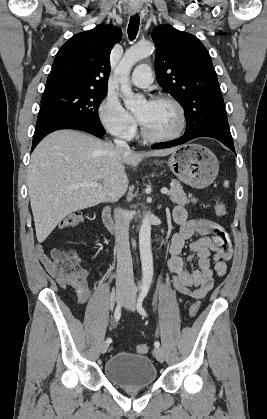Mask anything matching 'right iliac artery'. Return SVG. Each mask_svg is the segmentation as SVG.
<instances>
[{"instance_id":"1","label":"right iliac artery","mask_w":267,"mask_h":419,"mask_svg":"<svg viewBox=\"0 0 267 419\" xmlns=\"http://www.w3.org/2000/svg\"><path fill=\"white\" fill-rule=\"evenodd\" d=\"M136 291H137V289H135V290L132 292V294H135V293H136ZM122 303H123V301H122V302H120V303H118V305H117V307H116V309H115V312H114V318H115V320H116V321H118V320L120 319V317H121V307H122ZM106 342H107V343H111V342H112V339H111V338H107Z\"/></svg>"}]
</instances>
